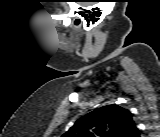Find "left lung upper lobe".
Here are the masks:
<instances>
[{"label":"left lung upper lobe","instance_id":"left-lung-upper-lobe-1","mask_svg":"<svg viewBox=\"0 0 160 137\" xmlns=\"http://www.w3.org/2000/svg\"><path fill=\"white\" fill-rule=\"evenodd\" d=\"M138 133L132 114L118 105L95 109L77 120L64 137H135Z\"/></svg>","mask_w":160,"mask_h":137}]
</instances>
